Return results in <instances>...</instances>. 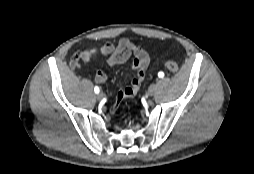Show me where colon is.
<instances>
[{
  "instance_id": "obj_1",
  "label": "colon",
  "mask_w": 254,
  "mask_h": 174,
  "mask_svg": "<svg viewBox=\"0 0 254 174\" xmlns=\"http://www.w3.org/2000/svg\"><path fill=\"white\" fill-rule=\"evenodd\" d=\"M84 60L83 59V53H75L73 54V56L71 57L70 59V64L73 66V67H76L79 65V63ZM164 67L166 70H168L169 72H172V73H175L178 71V65L175 61H171V60H168L164 63Z\"/></svg>"
}]
</instances>
